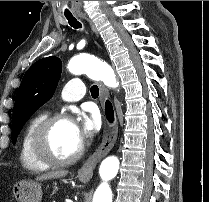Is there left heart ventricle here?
Listing matches in <instances>:
<instances>
[{
  "instance_id": "b2bd125f",
  "label": "left heart ventricle",
  "mask_w": 209,
  "mask_h": 202,
  "mask_svg": "<svg viewBox=\"0 0 209 202\" xmlns=\"http://www.w3.org/2000/svg\"><path fill=\"white\" fill-rule=\"evenodd\" d=\"M50 153L64 159L77 152L81 143L77 139L72 121L60 122L53 127L47 138Z\"/></svg>"
}]
</instances>
